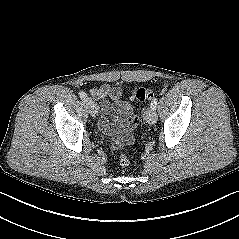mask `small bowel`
<instances>
[{"mask_svg": "<svg viewBox=\"0 0 239 239\" xmlns=\"http://www.w3.org/2000/svg\"><path fill=\"white\" fill-rule=\"evenodd\" d=\"M89 94L98 101L101 110L100 130L110 139L120 134L129 135L137 124L127 102L121 101L122 89L119 86L103 84L92 88Z\"/></svg>", "mask_w": 239, "mask_h": 239, "instance_id": "1", "label": "small bowel"}]
</instances>
